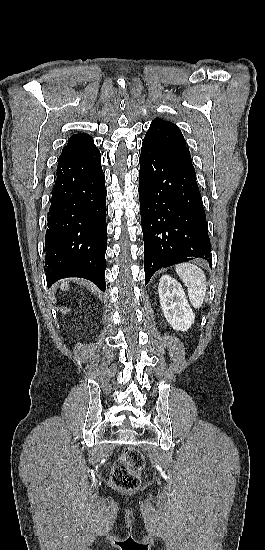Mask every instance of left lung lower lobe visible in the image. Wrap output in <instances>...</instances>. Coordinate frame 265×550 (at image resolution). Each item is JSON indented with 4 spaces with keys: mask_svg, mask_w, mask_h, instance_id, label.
<instances>
[{
    "mask_svg": "<svg viewBox=\"0 0 265 550\" xmlns=\"http://www.w3.org/2000/svg\"><path fill=\"white\" fill-rule=\"evenodd\" d=\"M139 200L145 285L163 267L210 260V239L194 167L142 143Z\"/></svg>",
    "mask_w": 265,
    "mask_h": 550,
    "instance_id": "obj_1",
    "label": "left lung lower lobe"
}]
</instances>
